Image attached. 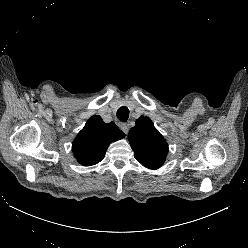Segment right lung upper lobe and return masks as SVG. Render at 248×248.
<instances>
[{
  "label": "right lung upper lobe",
  "instance_id": "right-lung-upper-lobe-1",
  "mask_svg": "<svg viewBox=\"0 0 248 248\" xmlns=\"http://www.w3.org/2000/svg\"><path fill=\"white\" fill-rule=\"evenodd\" d=\"M125 137L114 122L106 124L100 116H92L78 133L72 151L78 163L90 166L100 162L109 144Z\"/></svg>",
  "mask_w": 248,
  "mask_h": 248
}]
</instances>
